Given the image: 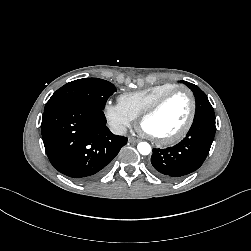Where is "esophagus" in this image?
Returning a JSON list of instances; mask_svg holds the SVG:
<instances>
[{"label":"esophagus","instance_id":"1","mask_svg":"<svg viewBox=\"0 0 251 251\" xmlns=\"http://www.w3.org/2000/svg\"><path fill=\"white\" fill-rule=\"evenodd\" d=\"M128 141H129L130 143H137V142H139L140 140L137 139V138H134V137H129V138H128Z\"/></svg>","mask_w":251,"mask_h":251}]
</instances>
